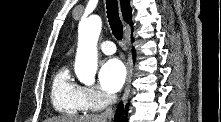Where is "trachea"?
<instances>
[{"label":"trachea","instance_id":"trachea-1","mask_svg":"<svg viewBox=\"0 0 221 122\" xmlns=\"http://www.w3.org/2000/svg\"><path fill=\"white\" fill-rule=\"evenodd\" d=\"M106 8L112 34L116 39L121 40L123 38V26L118 16L117 0H106Z\"/></svg>","mask_w":221,"mask_h":122}]
</instances>
